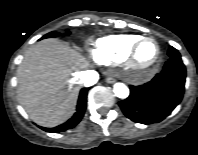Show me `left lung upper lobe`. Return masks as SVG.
I'll return each instance as SVG.
<instances>
[{
    "label": "left lung upper lobe",
    "instance_id": "5c2ea615",
    "mask_svg": "<svg viewBox=\"0 0 198 155\" xmlns=\"http://www.w3.org/2000/svg\"><path fill=\"white\" fill-rule=\"evenodd\" d=\"M168 55L173 59H181L179 52L173 47L169 48Z\"/></svg>",
    "mask_w": 198,
    "mask_h": 155
}]
</instances>
